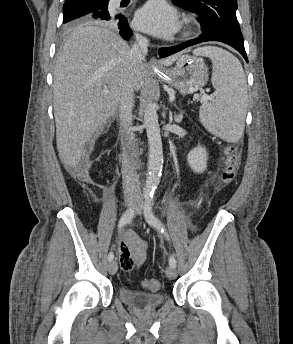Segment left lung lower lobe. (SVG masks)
<instances>
[{
	"label": "left lung lower lobe",
	"instance_id": "1",
	"mask_svg": "<svg viewBox=\"0 0 293 344\" xmlns=\"http://www.w3.org/2000/svg\"><path fill=\"white\" fill-rule=\"evenodd\" d=\"M207 41H217V42H222V43L230 45L231 47L235 48L244 57L246 62H248L245 48H244V43L237 42L230 37H227V36L222 35V34L214 33V32H203L196 39L187 41V42L182 43V44L177 45V46L161 48V49H159V55L161 57H167V56L175 54V53H177V52H179V51H181V50H183L189 46H192V45H195L198 43H202V42H207Z\"/></svg>",
	"mask_w": 293,
	"mask_h": 344
}]
</instances>
